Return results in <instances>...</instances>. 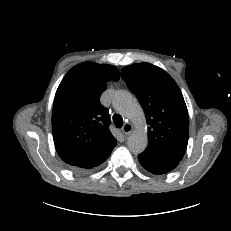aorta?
Listing matches in <instances>:
<instances>
[{
  "instance_id": "aorta-1",
  "label": "aorta",
  "mask_w": 231,
  "mask_h": 231,
  "mask_svg": "<svg viewBox=\"0 0 231 231\" xmlns=\"http://www.w3.org/2000/svg\"><path fill=\"white\" fill-rule=\"evenodd\" d=\"M112 105L137 126V130L128 137L127 145L132 153H142L147 147L148 136L146 118L141 105L129 92L124 90H119L114 94Z\"/></svg>"
}]
</instances>
